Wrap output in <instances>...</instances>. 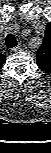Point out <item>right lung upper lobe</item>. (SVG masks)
I'll list each match as a JSON object with an SVG mask.
<instances>
[{
    "instance_id": "right-lung-upper-lobe-1",
    "label": "right lung upper lobe",
    "mask_w": 51,
    "mask_h": 153,
    "mask_svg": "<svg viewBox=\"0 0 51 153\" xmlns=\"http://www.w3.org/2000/svg\"><path fill=\"white\" fill-rule=\"evenodd\" d=\"M4 62H5V56L0 53V68Z\"/></svg>"
}]
</instances>
